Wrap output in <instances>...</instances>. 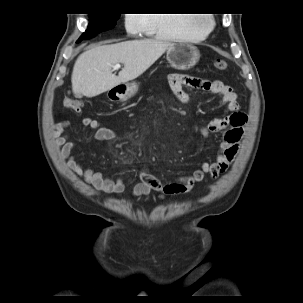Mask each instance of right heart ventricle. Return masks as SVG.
<instances>
[{"label":"right heart ventricle","instance_id":"obj_1","mask_svg":"<svg viewBox=\"0 0 303 303\" xmlns=\"http://www.w3.org/2000/svg\"><path fill=\"white\" fill-rule=\"evenodd\" d=\"M145 31L165 39L180 40L200 37L194 17L189 14H147Z\"/></svg>","mask_w":303,"mask_h":303}]
</instances>
